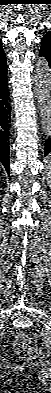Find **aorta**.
<instances>
[{"mask_svg": "<svg viewBox=\"0 0 51 393\" xmlns=\"http://www.w3.org/2000/svg\"><path fill=\"white\" fill-rule=\"evenodd\" d=\"M34 82L43 130L49 135L51 133V69L43 57L36 63Z\"/></svg>", "mask_w": 51, "mask_h": 393, "instance_id": "762f6f07", "label": "aorta"}]
</instances>
